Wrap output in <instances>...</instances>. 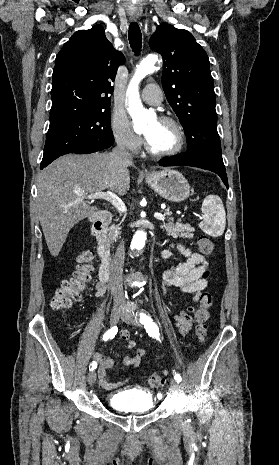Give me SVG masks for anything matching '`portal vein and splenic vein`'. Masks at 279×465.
Returning <instances> with one entry per match:
<instances>
[{
    "label": "portal vein and splenic vein",
    "instance_id": "portal-vein-and-splenic-vein-1",
    "mask_svg": "<svg viewBox=\"0 0 279 465\" xmlns=\"http://www.w3.org/2000/svg\"><path fill=\"white\" fill-rule=\"evenodd\" d=\"M87 199H103L110 202L119 212L124 213L127 211V208L124 202L114 193L110 191L106 192H94L88 195H85ZM155 218L158 220H165V217L161 213H155Z\"/></svg>",
    "mask_w": 279,
    "mask_h": 465
}]
</instances>
